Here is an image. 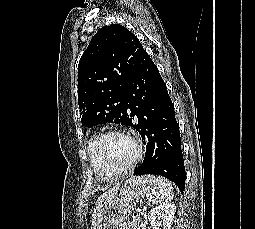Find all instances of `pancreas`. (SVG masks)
<instances>
[{
  "mask_svg": "<svg viewBox=\"0 0 255 229\" xmlns=\"http://www.w3.org/2000/svg\"><path fill=\"white\" fill-rule=\"evenodd\" d=\"M140 217H135L131 222L121 224L119 229H139Z\"/></svg>",
  "mask_w": 255,
  "mask_h": 229,
  "instance_id": "1",
  "label": "pancreas"
}]
</instances>
